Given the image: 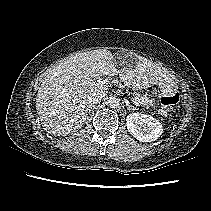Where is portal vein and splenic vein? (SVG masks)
I'll list each match as a JSON object with an SVG mask.
<instances>
[{"instance_id": "portal-vein-and-splenic-vein-1", "label": "portal vein and splenic vein", "mask_w": 211, "mask_h": 211, "mask_svg": "<svg viewBox=\"0 0 211 211\" xmlns=\"http://www.w3.org/2000/svg\"><path fill=\"white\" fill-rule=\"evenodd\" d=\"M109 81L107 79H99L97 80L98 85H104L107 84ZM133 104L136 106H139V102L137 100H133Z\"/></svg>"}]
</instances>
